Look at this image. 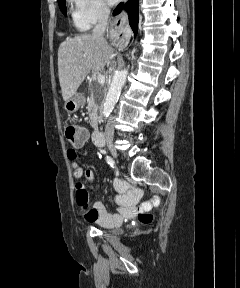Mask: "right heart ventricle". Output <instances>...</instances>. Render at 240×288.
<instances>
[{
	"instance_id": "obj_1",
	"label": "right heart ventricle",
	"mask_w": 240,
	"mask_h": 288,
	"mask_svg": "<svg viewBox=\"0 0 240 288\" xmlns=\"http://www.w3.org/2000/svg\"><path fill=\"white\" fill-rule=\"evenodd\" d=\"M75 22H76V21H75ZM76 24H77V23H76ZM77 26H78L79 28H82V29H84L82 26H80V25H78V24H77Z\"/></svg>"
}]
</instances>
